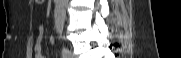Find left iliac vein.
I'll return each instance as SVG.
<instances>
[{"label":"left iliac vein","mask_w":181,"mask_h":58,"mask_svg":"<svg viewBox=\"0 0 181 58\" xmlns=\"http://www.w3.org/2000/svg\"><path fill=\"white\" fill-rule=\"evenodd\" d=\"M69 58H74L72 54H70V57Z\"/></svg>","instance_id":"1"}]
</instances>
